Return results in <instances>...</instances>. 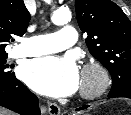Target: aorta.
Listing matches in <instances>:
<instances>
[{
    "label": "aorta",
    "mask_w": 131,
    "mask_h": 115,
    "mask_svg": "<svg viewBox=\"0 0 131 115\" xmlns=\"http://www.w3.org/2000/svg\"><path fill=\"white\" fill-rule=\"evenodd\" d=\"M71 20V12L69 9L61 8L56 11L51 16V21L55 25H63Z\"/></svg>",
    "instance_id": "obj_1"
}]
</instances>
